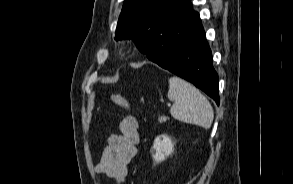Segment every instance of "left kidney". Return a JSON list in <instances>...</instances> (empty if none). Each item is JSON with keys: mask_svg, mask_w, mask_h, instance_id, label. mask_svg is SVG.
<instances>
[{"mask_svg": "<svg viewBox=\"0 0 293 184\" xmlns=\"http://www.w3.org/2000/svg\"><path fill=\"white\" fill-rule=\"evenodd\" d=\"M174 151V143L166 135H160L155 138L151 154L156 163L164 161Z\"/></svg>", "mask_w": 293, "mask_h": 184, "instance_id": "obj_1", "label": "left kidney"}]
</instances>
